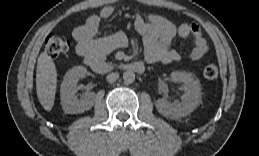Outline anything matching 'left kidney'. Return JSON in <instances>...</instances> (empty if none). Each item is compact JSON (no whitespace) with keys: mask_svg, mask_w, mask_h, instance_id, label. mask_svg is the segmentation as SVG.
<instances>
[{"mask_svg":"<svg viewBox=\"0 0 259 156\" xmlns=\"http://www.w3.org/2000/svg\"><path fill=\"white\" fill-rule=\"evenodd\" d=\"M170 76L174 82L184 84L185 93L181 97V103H170L162 98L157 100L156 108L165 117L179 119L189 115L197 107L202 97L201 86L190 73L174 71Z\"/></svg>","mask_w":259,"mask_h":156,"instance_id":"left-kidney-1","label":"left kidney"}]
</instances>
